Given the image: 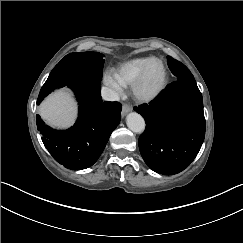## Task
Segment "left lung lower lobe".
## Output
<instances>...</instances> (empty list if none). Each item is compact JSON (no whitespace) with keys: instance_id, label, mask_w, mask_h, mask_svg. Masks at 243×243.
Masks as SVG:
<instances>
[{"instance_id":"left-lung-lower-lobe-1","label":"left lung lower lobe","mask_w":243,"mask_h":243,"mask_svg":"<svg viewBox=\"0 0 243 243\" xmlns=\"http://www.w3.org/2000/svg\"><path fill=\"white\" fill-rule=\"evenodd\" d=\"M134 110L146 122L138 144L148 167L164 175L187 168L205 136L203 100L196 81L176 80L149 104Z\"/></svg>"}]
</instances>
